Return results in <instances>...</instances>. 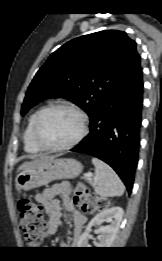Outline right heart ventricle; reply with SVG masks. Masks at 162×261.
Segmentation results:
<instances>
[{"label": "right heart ventricle", "mask_w": 162, "mask_h": 261, "mask_svg": "<svg viewBox=\"0 0 162 261\" xmlns=\"http://www.w3.org/2000/svg\"><path fill=\"white\" fill-rule=\"evenodd\" d=\"M44 107L37 109L30 117L23 134L24 148L25 151L30 154H37L42 151L34 142L33 139V128L37 115Z\"/></svg>", "instance_id": "obj_1"}]
</instances>
